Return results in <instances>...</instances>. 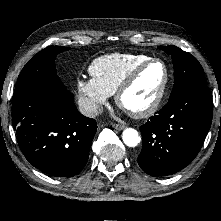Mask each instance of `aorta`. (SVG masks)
<instances>
[{"instance_id": "1", "label": "aorta", "mask_w": 221, "mask_h": 221, "mask_svg": "<svg viewBox=\"0 0 221 221\" xmlns=\"http://www.w3.org/2000/svg\"><path fill=\"white\" fill-rule=\"evenodd\" d=\"M122 139L129 147H135L140 142L138 132L133 128H126L122 133Z\"/></svg>"}]
</instances>
